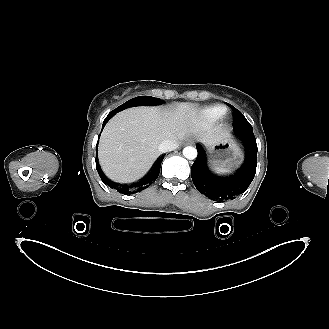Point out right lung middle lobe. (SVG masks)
Returning <instances> with one entry per match:
<instances>
[{
    "instance_id": "dd1d6c3e",
    "label": "right lung middle lobe",
    "mask_w": 329,
    "mask_h": 329,
    "mask_svg": "<svg viewBox=\"0 0 329 329\" xmlns=\"http://www.w3.org/2000/svg\"><path fill=\"white\" fill-rule=\"evenodd\" d=\"M162 103H163V100H161L159 98H155V97H151V96H139V97L133 98V99L125 102L124 104L117 107L115 110L111 111L109 114L115 115L119 111H122L129 107L140 106V105H159Z\"/></svg>"
}]
</instances>
